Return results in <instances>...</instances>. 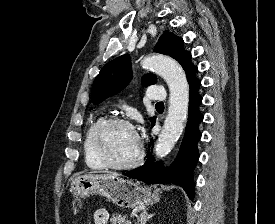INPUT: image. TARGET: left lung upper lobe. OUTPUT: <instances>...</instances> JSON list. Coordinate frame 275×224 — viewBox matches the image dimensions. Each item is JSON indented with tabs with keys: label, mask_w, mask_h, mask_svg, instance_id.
<instances>
[{
	"label": "left lung upper lobe",
	"mask_w": 275,
	"mask_h": 224,
	"mask_svg": "<svg viewBox=\"0 0 275 224\" xmlns=\"http://www.w3.org/2000/svg\"><path fill=\"white\" fill-rule=\"evenodd\" d=\"M183 39L172 32L165 31L160 37L154 51L169 55L177 60L186 72L187 77L197 69L191 63V53L183 47ZM132 78L131 60L125 54L107 63L96 77L91 91V99L94 104L101 103L104 99L118 93L128 85ZM157 77L154 74H147L142 78V84L149 86L156 84ZM154 122L156 117H151Z\"/></svg>",
	"instance_id": "5c2ea615"
}]
</instances>
